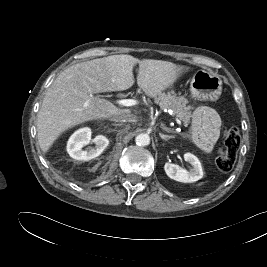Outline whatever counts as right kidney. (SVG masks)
I'll return each instance as SVG.
<instances>
[{
	"label": "right kidney",
	"instance_id": "1",
	"mask_svg": "<svg viewBox=\"0 0 267 267\" xmlns=\"http://www.w3.org/2000/svg\"><path fill=\"white\" fill-rule=\"evenodd\" d=\"M91 142V129L88 127L75 131L67 142V152L76 160L89 161L98 157L108 146L109 140L103 135H97L93 142L95 147L83 150V147Z\"/></svg>",
	"mask_w": 267,
	"mask_h": 267
}]
</instances>
